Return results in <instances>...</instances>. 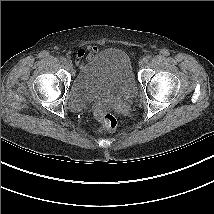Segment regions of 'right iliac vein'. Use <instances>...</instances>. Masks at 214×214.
<instances>
[{
	"mask_svg": "<svg viewBox=\"0 0 214 214\" xmlns=\"http://www.w3.org/2000/svg\"><path fill=\"white\" fill-rule=\"evenodd\" d=\"M64 64L67 66V67H71L72 66V62L70 60H66L64 62Z\"/></svg>",
	"mask_w": 214,
	"mask_h": 214,
	"instance_id": "1",
	"label": "right iliac vein"
}]
</instances>
